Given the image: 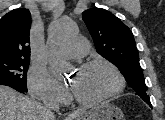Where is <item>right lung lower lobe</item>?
Listing matches in <instances>:
<instances>
[{
	"instance_id": "obj_1",
	"label": "right lung lower lobe",
	"mask_w": 165,
	"mask_h": 120,
	"mask_svg": "<svg viewBox=\"0 0 165 120\" xmlns=\"http://www.w3.org/2000/svg\"><path fill=\"white\" fill-rule=\"evenodd\" d=\"M12 88H14V87H12ZM14 89L17 90V91H19V92H21V93H25V91H23L21 89H18V88H14Z\"/></svg>"
}]
</instances>
